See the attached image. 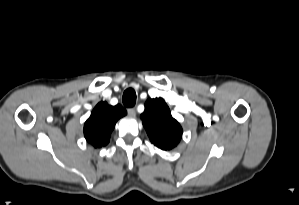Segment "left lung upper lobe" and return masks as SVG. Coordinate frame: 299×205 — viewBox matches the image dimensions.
<instances>
[{
	"label": "left lung upper lobe",
	"instance_id": "5c2ea615",
	"mask_svg": "<svg viewBox=\"0 0 299 205\" xmlns=\"http://www.w3.org/2000/svg\"><path fill=\"white\" fill-rule=\"evenodd\" d=\"M151 142L162 150L174 148L182 137V127L162 98L148 99L141 115Z\"/></svg>",
	"mask_w": 299,
	"mask_h": 205
}]
</instances>
